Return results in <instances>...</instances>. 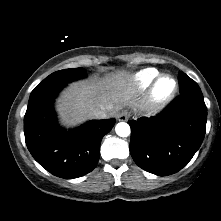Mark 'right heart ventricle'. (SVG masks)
<instances>
[{
  "label": "right heart ventricle",
  "mask_w": 221,
  "mask_h": 221,
  "mask_svg": "<svg viewBox=\"0 0 221 221\" xmlns=\"http://www.w3.org/2000/svg\"><path fill=\"white\" fill-rule=\"evenodd\" d=\"M157 75L158 72L155 69H143L134 75L133 87L137 90H143L151 84Z\"/></svg>",
  "instance_id": "right-heart-ventricle-1"
}]
</instances>
